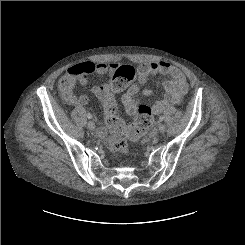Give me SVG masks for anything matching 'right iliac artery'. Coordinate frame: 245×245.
I'll list each match as a JSON object with an SVG mask.
<instances>
[{
	"mask_svg": "<svg viewBox=\"0 0 245 245\" xmlns=\"http://www.w3.org/2000/svg\"><path fill=\"white\" fill-rule=\"evenodd\" d=\"M87 117L89 118V119H91L92 118V114L91 113H87Z\"/></svg>",
	"mask_w": 245,
	"mask_h": 245,
	"instance_id": "right-iliac-artery-1",
	"label": "right iliac artery"
}]
</instances>
